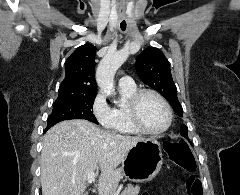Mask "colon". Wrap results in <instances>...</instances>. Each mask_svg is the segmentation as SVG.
Instances as JSON below:
<instances>
[{
    "instance_id": "obj_1",
    "label": "colon",
    "mask_w": 240,
    "mask_h": 195,
    "mask_svg": "<svg viewBox=\"0 0 240 195\" xmlns=\"http://www.w3.org/2000/svg\"><path fill=\"white\" fill-rule=\"evenodd\" d=\"M165 151L169 158H171L172 161L181 168H184L186 170L195 169L196 160L191 152L189 143L186 140H180L177 143H166ZM186 182H188V195H203V186L199 178L188 176Z\"/></svg>"
}]
</instances>
